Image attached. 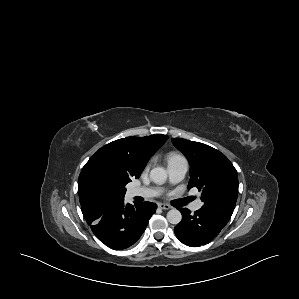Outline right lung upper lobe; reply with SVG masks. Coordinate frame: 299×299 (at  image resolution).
Wrapping results in <instances>:
<instances>
[{
  "instance_id": "1",
  "label": "right lung upper lobe",
  "mask_w": 299,
  "mask_h": 299,
  "mask_svg": "<svg viewBox=\"0 0 299 299\" xmlns=\"http://www.w3.org/2000/svg\"><path fill=\"white\" fill-rule=\"evenodd\" d=\"M166 135L127 137L101 147L85 164L78 179V194L81 205L87 202L114 203L124 199L118 194H100L85 186L84 173L94 162L107 165L119 176L130 182L139 178L150 157L166 142Z\"/></svg>"
}]
</instances>
